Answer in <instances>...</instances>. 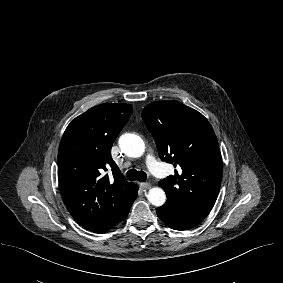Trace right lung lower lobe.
Instances as JSON below:
<instances>
[{"mask_svg": "<svg viewBox=\"0 0 283 283\" xmlns=\"http://www.w3.org/2000/svg\"><path fill=\"white\" fill-rule=\"evenodd\" d=\"M129 210H130V209H129ZM129 210L124 214V216L119 220V222H121L122 220L125 219V217H126L127 214L129 213ZM119 222H118V223H119ZM118 223H116L115 225H117ZM115 225H114V226H115ZM114 226H112L111 228H113ZM111 228H110V229H111ZM108 230H109V229H108ZM108 230H107V231H108ZM105 232H106V231H105Z\"/></svg>", "mask_w": 283, "mask_h": 283, "instance_id": "obj_1", "label": "right lung lower lobe"}]
</instances>
